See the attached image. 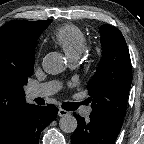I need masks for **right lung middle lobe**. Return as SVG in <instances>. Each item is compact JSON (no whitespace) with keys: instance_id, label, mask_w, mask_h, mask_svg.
Segmentation results:
<instances>
[{"instance_id":"dd1d6c3e","label":"right lung middle lobe","mask_w":144,"mask_h":144,"mask_svg":"<svg viewBox=\"0 0 144 144\" xmlns=\"http://www.w3.org/2000/svg\"><path fill=\"white\" fill-rule=\"evenodd\" d=\"M33 67L34 62L32 61L20 69V77L23 81V84H27V78L32 75Z\"/></svg>"}]
</instances>
